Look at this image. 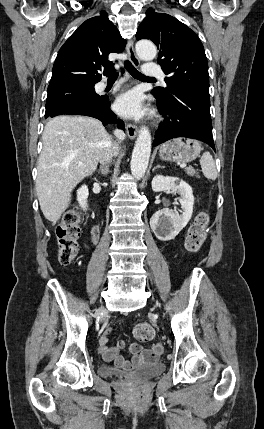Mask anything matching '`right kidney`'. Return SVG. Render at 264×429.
<instances>
[{
	"label": "right kidney",
	"instance_id": "right-kidney-1",
	"mask_svg": "<svg viewBox=\"0 0 264 429\" xmlns=\"http://www.w3.org/2000/svg\"><path fill=\"white\" fill-rule=\"evenodd\" d=\"M88 195H89V191L86 185H82L77 190V201L80 207L83 208L84 210H87L88 208V204H87Z\"/></svg>",
	"mask_w": 264,
	"mask_h": 429
}]
</instances>
